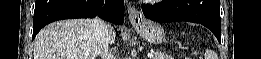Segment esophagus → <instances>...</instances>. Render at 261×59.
<instances>
[{
	"instance_id": "obj_1",
	"label": "esophagus",
	"mask_w": 261,
	"mask_h": 59,
	"mask_svg": "<svg viewBox=\"0 0 261 59\" xmlns=\"http://www.w3.org/2000/svg\"><path fill=\"white\" fill-rule=\"evenodd\" d=\"M128 18L132 25H140L144 22V16L141 11L137 10L135 7L129 5L128 7Z\"/></svg>"
}]
</instances>
